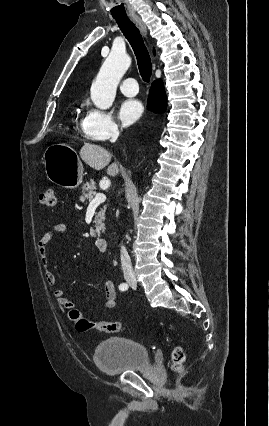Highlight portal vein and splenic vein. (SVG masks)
I'll list each match as a JSON object with an SVG mask.
<instances>
[{"mask_svg": "<svg viewBox=\"0 0 269 426\" xmlns=\"http://www.w3.org/2000/svg\"><path fill=\"white\" fill-rule=\"evenodd\" d=\"M106 200V196L102 193L96 194L95 198L90 201V205L100 204Z\"/></svg>", "mask_w": 269, "mask_h": 426, "instance_id": "obj_1", "label": "portal vein and splenic vein"}]
</instances>
